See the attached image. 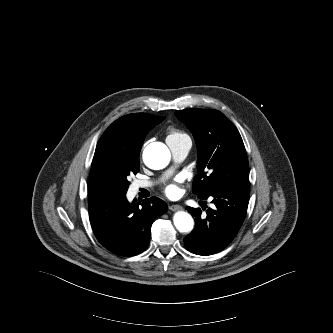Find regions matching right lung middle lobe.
<instances>
[{
    "instance_id": "1",
    "label": "right lung middle lobe",
    "mask_w": 333,
    "mask_h": 333,
    "mask_svg": "<svg viewBox=\"0 0 333 333\" xmlns=\"http://www.w3.org/2000/svg\"><path fill=\"white\" fill-rule=\"evenodd\" d=\"M140 151L122 152L112 160V171L116 178V196L125 195L130 182L128 176L139 171Z\"/></svg>"
}]
</instances>
